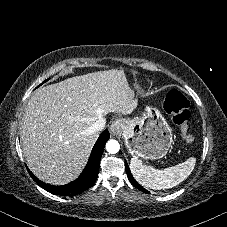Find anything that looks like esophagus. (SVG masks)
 <instances>
[{
    "label": "esophagus",
    "mask_w": 227,
    "mask_h": 227,
    "mask_svg": "<svg viewBox=\"0 0 227 227\" xmlns=\"http://www.w3.org/2000/svg\"><path fill=\"white\" fill-rule=\"evenodd\" d=\"M123 128V121L120 119H116L112 122V124L110 125V133L112 135H119L121 133V129Z\"/></svg>",
    "instance_id": "esophagus-1"
}]
</instances>
